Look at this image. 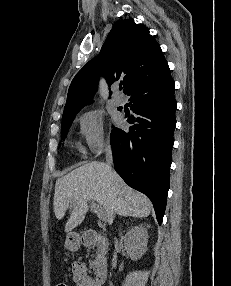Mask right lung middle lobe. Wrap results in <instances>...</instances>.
I'll return each instance as SVG.
<instances>
[{
    "instance_id": "1",
    "label": "right lung middle lobe",
    "mask_w": 231,
    "mask_h": 286,
    "mask_svg": "<svg viewBox=\"0 0 231 286\" xmlns=\"http://www.w3.org/2000/svg\"><path fill=\"white\" fill-rule=\"evenodd\" d=\"M79 111L64 115L62 118V130H61V136L64 139L67 135V132L69 130L70 124L72 123V121L74 120L76 114Z\"/></svg>"
}]
</instances>
